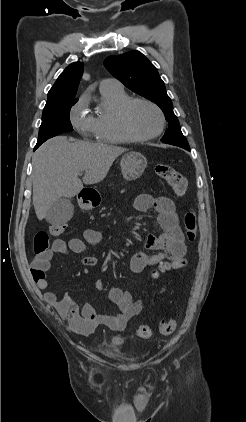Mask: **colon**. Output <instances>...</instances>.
I'll use <instances>...</instances> for the list:
<instances>
[{"mask_svg": "<svg viewBox=\"0 0 246 422\" xmlns=\"http://www.w3.org/2000/svg\"><path fill=\"white\" fill-rule=\"evenodd\" d=\"M155 173L163 179L172 188L177 196H183L187 189L186 178L176 169L168 164H157L155 166ZM183 224L185 228L186 237L193 242L197 234L196 213L194 210H188L183 217ZM65 228L59 224H53L48 231H39L34 237L33 249L35 253L34 263L38 262L40 257L49 251V236H60L63 234ZM186 264L185 259L166 262L153 272V277H157L160 273L171 269H180ZM31 274L33 279L43 277V271L38 267L32 266ZM177 322L174 318L163 319L159 321L158 331L163 335H168L174 332ZM137 335L141 339H150L153 336V330L148 325H141L137 329Z\"/></svg>", "mask_w": 246, "mask_h": 422, "instance_id": "colon-1", "label": "colon"}]
</instances>
